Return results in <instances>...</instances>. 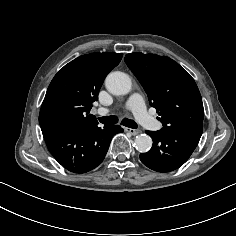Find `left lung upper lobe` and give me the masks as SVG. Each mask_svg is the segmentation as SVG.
I'll use <instances>...</instances> for the list:
<instances>
[{"label":"left lung upper lobe","instance_id":"5c2ea615","mask_svg":"<svg viewBox=\"0 0 236 236\" xmlns=\"http://www.w3.org/2000/svg\"><path fill=\"white\" fill-rule=\"evenodd\" d=\"M124 60L160 115L163 129L203 128L200 92L194 79L178 63L165 56L143 53L127 54Z\"/></svg>","mask_w":236,"mask_h":236}]
</instances>
